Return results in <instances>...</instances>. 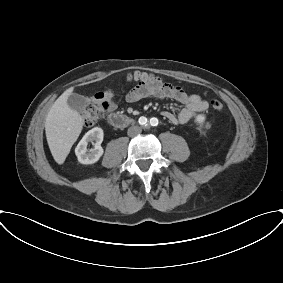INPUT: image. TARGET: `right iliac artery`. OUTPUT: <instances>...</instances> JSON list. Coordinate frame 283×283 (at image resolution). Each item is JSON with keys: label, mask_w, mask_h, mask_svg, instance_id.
<instances>
[{"label": "right iliac artery", "mask_w": 283, "mask_h": 283, "mask_svg": "<svg viewBox=\"0 0 283 283\" xmlns=\"http://www.w3.org/2000/svg\"><path fill=\"white\" fill-rule=\"evenodd\" d=\"M140 122H141L142 124H146V123H147V119H146L145 117H141V118H140Z\"/></svg>", "instance_id": "obj_1"}]
</instances>
